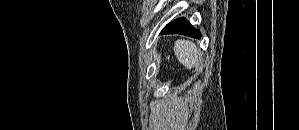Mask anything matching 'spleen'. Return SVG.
<instances>
[{
  "label": "spleen",
  "mask_w": 299,
  "mask_h": 130,
  "mask_svg": "<svg viewBox=\"0 0 299 130\" xmlns=\"http://www.w3.org/2000/svg\"><path fill=\"white\" fill-rule=\"evenodd\" d=\"M174 52L178 61L188 69H191L200 60L197 46L189 40H177Z\"/></svg>",
  "instance_id": "3e777b00"
}]
</instances>
